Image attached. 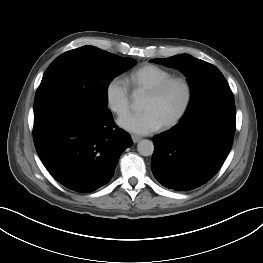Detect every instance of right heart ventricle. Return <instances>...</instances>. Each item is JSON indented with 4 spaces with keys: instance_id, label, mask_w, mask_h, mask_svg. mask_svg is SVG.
Here are the masks:
<instances>
[{
    "instance_id": "e07e8e85",
    "label": "right heart ventricle",
    "mask_w": 263,
    "mask_h": 263,
    "mask_svg": "<svg viewBox=\"0 0 263 263\" xmlns=\"http://www.w3.org/2000/svg\"><path fill=\"white\" fill-rule=\"evenodd\" d=\"M172 74L165 68L155 64H144L125 76L126 83L134 91H148Z\"/></svg>"
}]
</instances>
